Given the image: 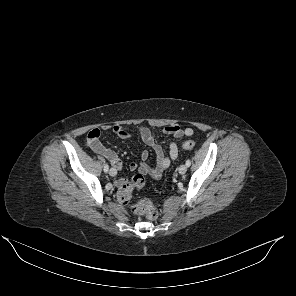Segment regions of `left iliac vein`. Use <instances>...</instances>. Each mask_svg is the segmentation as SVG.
I'll list each match as a JSON object with an SVG mask.
<instances>
[{
	"label": "left iliac vein",
	"instance_id": "1",
	"mask_svg": "<svg viewBox=\"0 0 296 296\" xmlns=\"http://www.w3.org/2000/svg\"><path fill=\"white\" fill-rule=\"evenodd\" d=\"M178 171L180 174H184L187 171V166L185 164H182L179 166Z\"/></svg>",
	"mask_w": 296,
	"mask_h": 296
}]
</instances>
